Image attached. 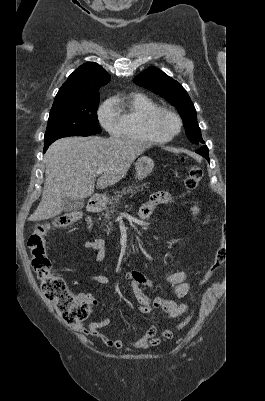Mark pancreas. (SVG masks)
I'll return each instance as SVG.
<instances>
[{
	"label": "pancreas",
	"mask_w": 265,
	"mask_h": 401,
	"mask_svg": "<svg viewBox=\"0 0 265 401\" xmlns=\"http://www.w3.org/2000/svg\"><path fill=\"white\" fill-rule=\"evenodd\" d=\"M147 182H144V184H140V186H132V184H129V186H127V188H122V190H115L114 194L115 196H112V198H110V201L107 205V207H105L104 211H105V215H103L104 219H105V223H108V233H111V231H113V227H112V223H111V219H113V217H115V213H118V209L121 205V201L120 198H123V194H131V196H133L134 192H136V190H139V188H144V186H146ZM136 188V190H135Z\"/></svg>",
	"instance_id": "obj_1"
}]
</instances>
